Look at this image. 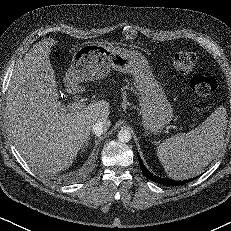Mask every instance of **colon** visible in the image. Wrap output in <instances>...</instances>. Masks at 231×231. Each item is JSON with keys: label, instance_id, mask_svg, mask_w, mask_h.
Here are the masks:
<instances>
[{"label": "colon", "instance_id": "5ec220e1", "mask_svg": "<svg viewBox=\"0 0 231 231\" xmlns=\"http://www.w3.org/2000/svg\"><path fill=\"white\" fill-rule=\"evenodd\" d=\"M55 55L57 56L58 54L55 53ZM197 60L198 56L195 52L184 51L176 54L173 66L177 73L183 74L191 71L196 65ZM191 87L199 99L207 101L213 96L217 84L212 77L196 75L191 80Z\"/></svg>", "mask_w": 231, "mask_h": 231}]
</instances>
